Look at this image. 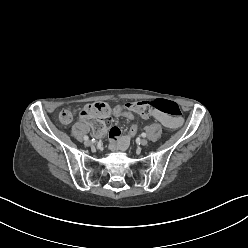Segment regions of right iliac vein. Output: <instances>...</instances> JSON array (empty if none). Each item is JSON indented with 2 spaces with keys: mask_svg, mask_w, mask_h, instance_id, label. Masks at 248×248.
<instances>
[{
  "mask_svg": "<svg viewBox=\"0 0 248 248\" xmlns=\"http://www.w3.org/2000/svg\"><path fill=\"white\" fill-rule=\"evenodd\" d=\"M84 144H85V146H90L91 145V141L90 140H85Z\"/></svg>",
  "mask_w": 248,
  "mask_h": 248,
  "instance_id": "obj_1",
  "label": "right iliac vein"
}]
</instances>
